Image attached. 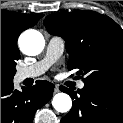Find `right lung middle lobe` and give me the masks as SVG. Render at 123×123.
Segmentation results:
<instances>
[{"label":"right lung middle lobe","instance_id":"1","mask_svg":"<svg viewBox=\"0 0 123 123\" xmlns=\"http://www.w3.org/2000/svg\"><path fill=\"white\" fill-rule=\"evenodd\" d=\"M20 53L16 45L1 39V83L12 82Z\"/></svg>","mask_w":123,"mask_h":123}]
</instances>
